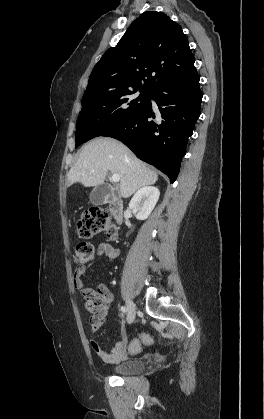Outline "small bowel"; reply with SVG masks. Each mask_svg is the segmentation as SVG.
I'll use <instances>...</instances> for the list:
<instances>
[{
	"label": "small bowel",
	"instance_id": "small-bowel-1",
	"mask_svg": "<svg viewBox=\"0 0 264 419\" xmlns=\"http://www.w3.org/2000/svg\"><path fill=\"white\" fill-rule=\"evenodd\" d=\"M97 252L101 256H105L110 262H113L118 256V250L107 242H102L98 245ZM88 268L84 265L78 266L74 273L73 283L81 295L87 299L92 298L98 303L97 314L91 323V329L97 331L102 328L107 318V308L112 301V293L107 286L99 284L96 290L85 287L82 277L86 274ZM91 347L94 352L106 363L116 364L124 361L128 354L135 353L132 350L131 344H128L126 333L123 327L120 328L119 338L114 340L111 349H104L96 340H91Z\"/></svg>",
	"mask_w": 264,
	"mask_h": 419
}]
</instances>
